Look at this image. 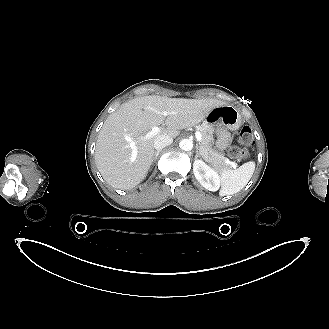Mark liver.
Listing matches in <instances>:
<instances>
[{
    "instance_id": "obj_1",
    "label": "liver",
    "mask_w": 329,
    "mask_h": 329,
    "mask_svg": "<svg viewBox=\"0 0 329 329\" xmlns=\"http://www.w3.org/2000/svg\"><path fill=\"white\" fill-rule=\"evenodd\" d=\"M226 105L217 99H183L144 96L122 104L104 122L99 132L95 162L104 180L112 187L129 190L147 176L154 158V140L166 134L177 137L180 130L202 122L215 107ZM167 111V117L162 112ZM166 124L157 135H145L154 126ZM129 136L135 143L137 155H132Z\"/></svg>"
}]
</instances>
